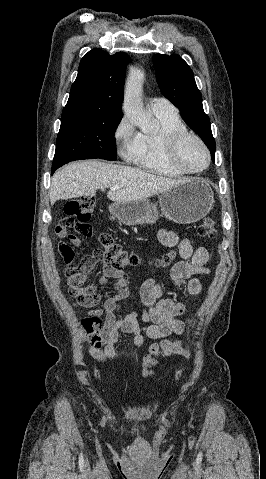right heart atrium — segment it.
Masks as SVG:
<instances>
[{
	"label": "right heart atrium",
	"mask_w": 266,
	"mask_h": 479,
	"mask_svg": "<svg viewBox=\"0 0 266 479\" xmlns=\"http://www.w3.org/2000/svg\"><path fill=\"white\" fill-rule=\"evenodd\" d=\"M113 138L120 155L127 161H133L138 146V134L127 117H123L116 126Z\"/></svg>",
	"instance_id": "1"
}]
</instances>
